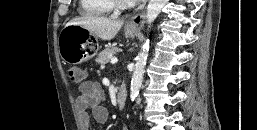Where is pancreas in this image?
Here are the masks:
<instances>
[{
  "label": "pancreas",
  "mask_w": 257,
  "mask_h": 130,
  "mask_svg": "<svg viewBox=\"0 0 257 130\" xmlns=\"http://www.w3.org/2000/svg\"><path fill=\"white\" fill-rule=\"evenodd\" d=\"M119 51L117 47H109L105 48L103 51L100 52L98 57L96 58V63L100 64L101 66H104L105 64H108L113 58V56Z\"/></svg>",
  "instance_id": "pancreas-1"
}]
</instances>
